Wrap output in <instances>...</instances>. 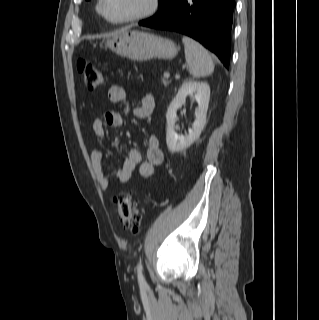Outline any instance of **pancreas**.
Wrapping results in <instances>:
<instances>
[{
  "instance_id": "obj_1",
  "label": "pancreas",
  "mask_w": 319,
  "mask_h": 320,
  "mask_svg": "<svg viewBox=\"0 0 319 320\" xmlns=\"http://www.w3.org/2000/svg\"><path fill=\"white\" fill-rule=\"evenodd\" d=\"M162 83H163L164 85H167V84H168V78L163 77V78H162Z\"/></svg>"
}]
</instances>
